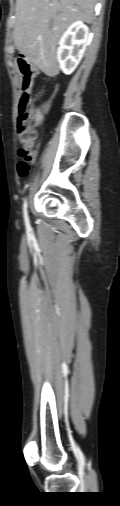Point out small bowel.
Returning <instances> with one entry per match:
<instances>
[{
  "instance_id": "c3829d8e",
  "label": "small bowel",
  "mask_w": 120,
  "mask_h": 506,
  "mask_svg": "<svg viewBox=\"0 0 120 506\" xmlns=\"http://www.w3.org/2000/svg\"><path fill=\"white\" fill-rule=\"evenodd\" d=\"M30 88H31V87H30ZM49 107H50V104H49L48 102H45V103H43V104L41 105V111H42V112H46V111H48ZM41 119H42V116H41V114L39 113V122L41 121Z\"/></svg>"
}]
</instances>
